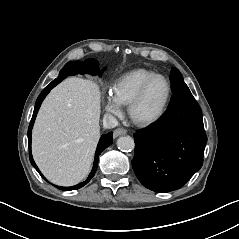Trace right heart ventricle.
I'll use <instances>...</instances> for the list:
<instances>
[{
	"label": "right heart ventricle",
	"mask_w": 239,
	"mask_h": 239,
	"mask_svg": "<svg viewBox=\"0 0 239 239\" xmlns=\"http://www.w3.org/2000/svg\"><path fill=\"white\" fill-rule=\"evenodd\" d=\"M156 74V72L146 68H136L122 74L111 84V97L120 106H129L140 87Z\"/></svg>",
	"instance_id": "obj_1"
}]
</instances>
